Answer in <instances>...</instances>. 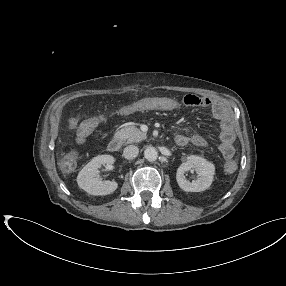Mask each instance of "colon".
Masks as SVG:
<instances>
[{"label": "colon", "mask_w": 286, "mask_h": 286, "mask_svg": "<svg viewBox=\"0 0 286 286\" xmlns=\"http://www.w3.org/2000/svg\"><path fill=\"white\" fill-rule=\"evenodd\" d=\"M74 120L76 121V123H78L77 118H74ZM90 132H91V127L87 124H82L79 127L78 140L79 141L84 140L89 135ZM76 162H77V157L73 153L67 154L63 158V164L68 168H73L75 166ZM235 168H236V165L234 162H228L226 164V170L228 172L234 171Z\"/></svg>", "instance_id": "colon-1"}]
</instances>
